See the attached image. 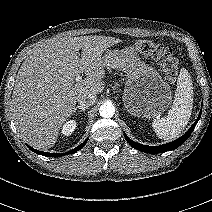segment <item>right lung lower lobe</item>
Instances as JSON below:
<instances>
[{"mask_svg":"<svg viewBox=\"0 0 212 212\" xmlns=\"http://www.w3.org/2000/svg\"><path fill=\"white\" fill-rule=\"evenodd\" d=\"M87 142V139L79 146H77L76 148L72 149L71 151H68L64 154H59V153H47V152H42V151H38L30 146L29 149H31L33 152L37 153V154H40V155H43V156H46V157H59V156H63V155H68V154H72V153H75L76 151L80 150Z\"/></svg>","mask_w":212,"mask_h":212,"instance_id":"right-lung-lower-lobe-1","label":"right lung lower lobe"}]
</instances>
